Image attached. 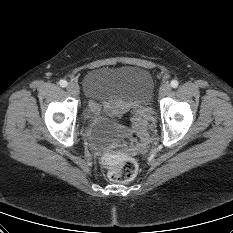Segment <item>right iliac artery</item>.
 Listing matches in <instances>:
<instances>
[{
	"instance_id": "1",
	"label": "right iliac artery",
	"mask_w": 233,
	"mask_h": 233,
	"mask_svg": "<svg viewBox=\"0 0 233 233\" xmlns=\"http://www.w3.org/2000/svg\"><path fill=\"white\" fill-rule=\"evenodd\" d=\"M67 81L66 80H60V82H59V85L61 86V87H63V88H65L66 86H67Z\"/></svg>"
}]
</instances>
